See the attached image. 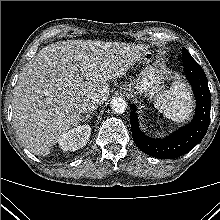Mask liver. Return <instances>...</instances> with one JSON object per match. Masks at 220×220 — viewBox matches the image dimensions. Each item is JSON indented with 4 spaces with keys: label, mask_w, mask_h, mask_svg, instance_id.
<instances>
[{
    "label": "liver",
    "mask_w": 220,
    "mask_h": 220,
    "mask_svg": "<svg viewBox=\"0 0 220 220\" xmlns=\"http://www.w3.org/2000/svg\"><path fill=\"white\" fill-rule=\"evenodd\" d=\"M143 46L68 40L40 50L21 72L13 94V125L25 148L46 156L59 137L81 121V104L104 103L110 80L141 61Z\"/></svg>",
    "instance_id": "1"
}]
</instances>
